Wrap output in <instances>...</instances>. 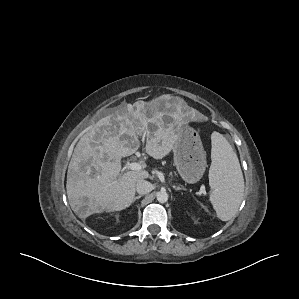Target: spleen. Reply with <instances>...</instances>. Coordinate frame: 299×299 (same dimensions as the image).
Segmentation results:
<instances>
[{"label": "spleen", "mask_w": 299, "mask_h": 299, "mask_svg": "<svg viewBox=\"0 0 299 299\" xmlns=\"http://www.w3.org/2000/svg\"><path fill=\"white\" fill-rule=\"evenodd\" d=\"M211 143L210 201L217 217L222 221H229L243 199V174L236 153L222 134L212 133Z\"/></svg>", "instance_id": "1"}]
</instances>
